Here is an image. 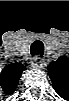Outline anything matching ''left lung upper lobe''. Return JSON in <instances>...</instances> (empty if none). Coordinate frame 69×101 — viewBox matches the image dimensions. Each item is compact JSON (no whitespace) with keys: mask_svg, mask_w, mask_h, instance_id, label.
<instances>
[{"mask_svg":"<svg viewBox=\"0 0 69 101\" xmlns=\"http://www.w3.org/2000/svg\"><path fill=\"white\" fill-rule=\"evenodd\" d=\"M48 74L55 91L61 96L69 85V59L60 57L48 66Z\"/></svg>","mask_w":69,"mask_h":101,"instance_id":"obj_1","label":"left lung upper lobe"}]
</instances>
